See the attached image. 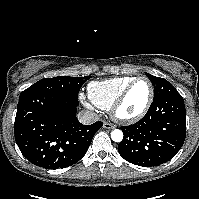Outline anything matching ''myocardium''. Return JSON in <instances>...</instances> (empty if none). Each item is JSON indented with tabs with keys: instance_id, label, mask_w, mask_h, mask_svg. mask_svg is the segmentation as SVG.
Here are the masks:
<instances>
[{
	"instance_id": "f54148a6",
	"label": "myocardium",
	"mask_w": 199,
	"mask_h": 199,
	"mask_svg": "<svg viewBox=\"0 0 199 199\" xmlns=\"http://www.w3.org/2000/svg\"><path fill=\"white\" fill-rule=\"evenodd\" d=\"M140 80H144L146 82H148L149 86H150V94L149 97L147 99V102L145 103L144 107L141 109L140 112H138L135 115H123L121 113V108L125 103V100L130 92V90L132 89V87ZM154 85L151 82V80L149 78H147L146 76H138L136 78H134L128 85L127 87L123 90V92L119 95V97L116 99V101L113 103L111 109H110V113L111 116L118 122L121 123H134L139 121L140 119H142L146 113L148 112L153 99H154Z\"/></svg>"
}]
</instances>
